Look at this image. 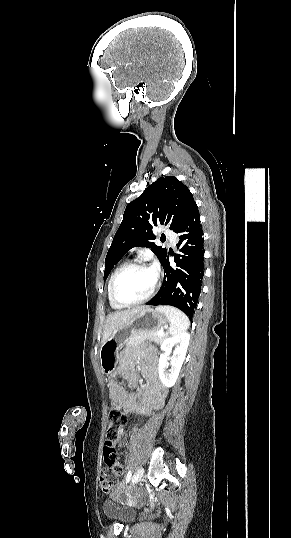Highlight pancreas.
I'll list each match as a JSON object with an SVG mask.
<instances>
[{
    "instance_id": "obj_1",
    "label": "pancreas",
    "mask_w": 291,
    "mask_h": 538,
    "mask_svg": "<svg viewBox=\"0 0 291 538\" xmlns=\"http://www.w3.org/2000/svg\"><path fill=\"white\" fill-rule=\"evenodd\" d=\"M168 334L159 335L157 331L140 332L132 336L127 342V346L137 347L145 341L161 344Z\"/></svg>"
}]
</instances>
